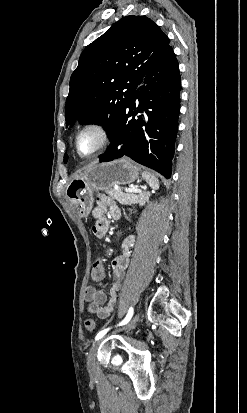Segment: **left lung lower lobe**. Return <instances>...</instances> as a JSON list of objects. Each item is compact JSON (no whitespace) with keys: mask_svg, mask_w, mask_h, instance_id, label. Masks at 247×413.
<instances>
[{"mask_svg":"<svg viewBox=\"0 0 247 413\" xmlns=\"http://www.w3.org/2000/svg\"><path fill=\"white\" fill-rule=\"evenodd\" d=\"M180 91L179 66L170 47L138 82L110 137L112 144L99 157L100 162L128 156L170 178L178 129ZM136 99L138 105L135 104Z\"/></svg>","mask_w":247,"mask_h":413,"instance_id":"left-lung-lower-lobe-1","label":"left lung lower lobe"}]
</instances>
